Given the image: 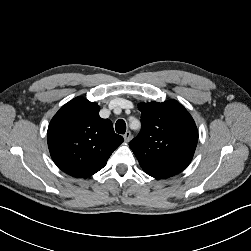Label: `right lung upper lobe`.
Segmentation results:
<instances>
[{"label": "right lung upper lobe", "instance_id": "1", "mask_svg": "<svg viewBox=\"0 0 251 251\" xmlns=\"http://www.w3.org/2000/svg\"><path fill=\"white\" fill-rule=\"evenodd\" d=\"M100 107L82 97L66 103L52 118L47 132L50 155L65 173L87 178L107 163L124 141L112 122L99 116Z\"/></svg>", "mask_w": 251, "mask_h": 251}]
</instances>
